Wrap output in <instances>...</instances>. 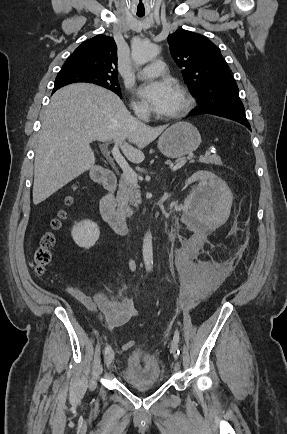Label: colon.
Instances as JSON below:
<instances>
[{"label":"colon","mask_w":287,"mask_h":434,"mask_svg":"<svg viewBox=\"0 0 287 434\" xmlns=\"http://www.w3.org/2000/svg\"><path fill=\"white\" fill-rule=\"evenodd\" d=\"M65 217L63 212L58 214V217L51 222V228L56 230L59 228L61 220ZM55 241L52 232H45L39 239L38 245L33 252L34 270L37 275H43L45 268L51 260V247ZM134 346L133 341H128L123 345L124 350H129Z\"/></svg>","instance_id":"5ec220e1"}]
</instances>
